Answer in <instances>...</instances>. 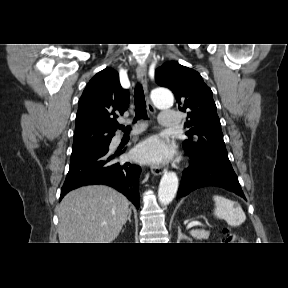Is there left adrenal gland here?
I'll return each mask as SVG.
<instances>
[{
  "mask_svg": "<svg viewBox=\"0 0 288 288\" xmlns=\"http://www.w3.org/2000/svg\"><path fill=\"white\" fill-rule=\"evenodd\" d=\"M182 239H186V240L191 241V238L182 234L180 227H178V241H180Z\"/></svg>",
  "mask_w": 288,
  "mask_h": 288,
  "instance_id": "obj_1",
  "label": "left adrenal gland"
}]
</instances>
